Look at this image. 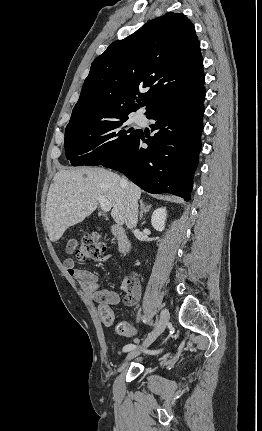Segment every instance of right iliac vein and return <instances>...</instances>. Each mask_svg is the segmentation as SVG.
<instances>
[{
    "label": "right iliac vein",
    "mask_w": 262,
    "mask_h": 431,
    "mask_svg": "<svg viewBox=\"0 0 262 431\" xmlns=\"http://www.w3.org/2000/svg\"><path fill=\"white\" fill-rule=\"evenodd\" d=\"M169 321V312L167 309H163L160 314V319L154 328V330L148 335V337L144 340V342L132 349L126 356L125 361H129L142 352L146 350L156 339L157 337L165 330L167 323Z\"/></svg>",
    "instance_id": "1"
}]
</instances>
